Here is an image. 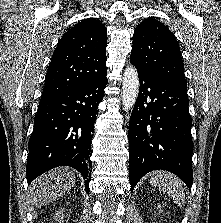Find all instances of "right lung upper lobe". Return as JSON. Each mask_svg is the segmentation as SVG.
<instances>
[{"label": "right lung upper lobe", "mask_w": 221, "mask_h": 223, "mask_svg": "<svg viewBox=\"0 0 221 223\" xmlns=\"http://www.w3.org/2000/svg\"><path fill=\"white\" fill-rule=\"evenodd\" d=\"M106 46V29L94 18L69 29L52 56L41 100L70 91L105 73Z\"/></svg>", "instance_id": "cb5924a9"}]
</instances>
